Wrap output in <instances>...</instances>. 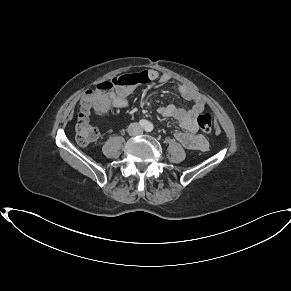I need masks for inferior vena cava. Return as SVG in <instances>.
<instances>
[{
    "label": "inferior vena cava",
    "instance_id": "obj_1",
    "mask_svg": "<svg viewBox=\"0 0 291 291\" xmlns=\"http://www.w3.org/2000/svg\"><path fill=\"white\" fill-rule=\"evenodd\" d=\"M130 135H140L143 133V128L138 123H131L128 128Z\"/></svg>",
    "mask_w": 291,
    "mask_h": 291
}]
</instances>
